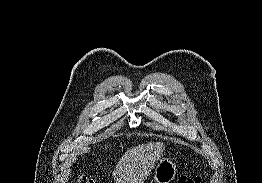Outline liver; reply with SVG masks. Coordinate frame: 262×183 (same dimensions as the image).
Returning <instances> with one entry per match:
<instances>
[{
  "instance_id": "6515ba94",
  "label": "liver",
  "mask_w": 262,
  "mask_h": 183,
  "mask_svg": "<svg viewBox=\"0 0 262 183\" xmlns=\"http://www.w3.org/2000/svg\"><path fill=\"white\" fill-rule=\"evenodd\" d=\"M163 152L162 142H148L128 149L113 172L115 183H143Z\"/></svg>"
}]
</instances>
